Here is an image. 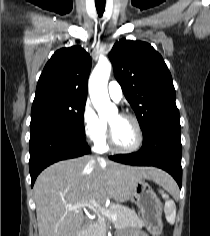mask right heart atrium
<instances>
[{"mask_svg":"<svg viewBox=\"0 0 210 236\" xmlns=\"http://www.w3.org/2000/svg\"><path fill=\"white\" fill-rule=\"evenodd\" d=\"M81 123L83 134L88 141L97 144L105 138L107 123L98 116L90 101L83 107Z\"/></svg>","mask_w":210,"mask_h":236,"instance_id":"1","label":"right heart atrium"}]
</instances>
